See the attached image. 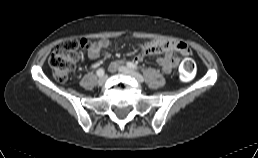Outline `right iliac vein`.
<instances>
[{
    "label": "right iliac vein",
    "mask_w": 258,
    "mask_h": 158,
    "mask_svg": "<svg viewBox=\"0 0 258 158\" xmlns=\"http://www.w3.org/2000/svg\"><path fill=\"white\" fill-rule=\"evenodd\" d=\"M106 81H107V76L104 75V76H102V77L99 78L98 84H99L100 86H102V85H104V84L106 83Z\"/></svg>",
    "instance_id": "1"
}]
</instances>
